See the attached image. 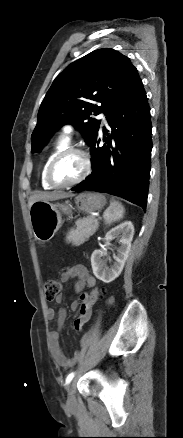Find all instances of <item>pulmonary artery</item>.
<instances>
[{
	"instance_id": "obj_1",
	"label": "pulmonary artery",
	"mask_w": 183,
	"mask_h": 438,
	"mask_svg": "<svg viewBox=\"0 0 183 438\" xmlns=\"http://www.w3.org/2000/svg\"><path fill=\"white\" fill-rule=\"evenodd\" d=\"M99 117L103 120V122H106L104 114H100ZM63 131L66 135H69L72 132V127L70 125H66L64 126Z\"/></svg>"
}]
</instances>
